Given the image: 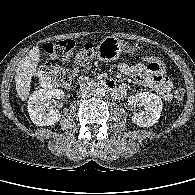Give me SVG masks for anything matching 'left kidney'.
<instances>
[{
    "mask_svg": "<svg viewBox=\"0 0 195 195\" xmlns=\"http://www.w3.org/2000/svg\"><path fill=\"white\" fill-rule=\"evenodd\" d=\"M131 106L142 105L144 111L134 113L132 122L140 127H150L154 125L160 118L163 103L159 96L154 93L140 92L128 98Z\"/></svg>",
    "mask_w": 195,
    "mask_h": 195,
    "instance_id": "left-kidney-1",
    "label": "left kidney"
}]
</instances>
